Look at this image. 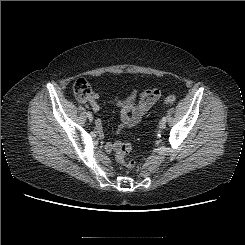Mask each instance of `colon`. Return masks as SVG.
<instances>
[{
    "instance_id": "colon-1",
    "label": "colon",
    "mask_w": 245,
    "mask_h": 245,
    "mask_svg": "<svg viewBox=\"0 0 245 245\" xmlns=\"http://www.w3.org/2000/svg\"><path fill=\"white\" fill-rule=\"evenodd\" d=\"M73 94L74 96L81 101H86L91 96V86L89 82L84 78H78L73 83ZM176 101V97L174 95H169L165 98L164 104L169 105ZM132 150V146L129 142H121L118 143L116 148V159L117 161L126 168H134L136 163L133 160L128 159V155Z\"/></svg>"
}]
</instances>
